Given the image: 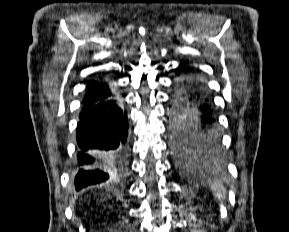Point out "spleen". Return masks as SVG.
<instances>
[{"label":"spleen","instance_id":"spleen-1","mask_svg":"<svg viewBox=\"0 0 289 232\" xmlns=\"http://www.w3.org/2000/svg\"><path fill=\"white\" fill-rule=\"evenodd\" d=\"M212 191L214 192L215 197L218 199L219 202L225 197L226 192L224 186L221 183H216L212 185Z\"/></svg>","mask_w":289,"mask_h":232}]
</instances>
